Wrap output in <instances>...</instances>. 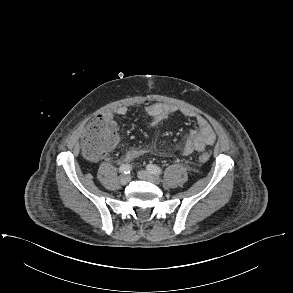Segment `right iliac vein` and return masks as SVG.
<instances>
[{"label":"right iliac vein","instance_id":"obj_1","mask_svg":"<svg viewBox=\"0 0 293 293\" xmlns=\"http://www.w3.org/2000/svg\"><path fill=\"white\" fill-rule=\"evenodd\" d=\"M130 180H131V178H130L129 175L123 174V175L120 176V183L122 185L128 184Z\"/></svg>","mask_w":293,"mask_h":293}]
</instances>
